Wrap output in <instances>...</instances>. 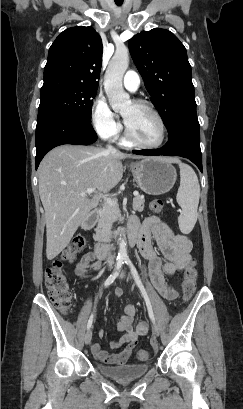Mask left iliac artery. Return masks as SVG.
I'll use <instances>...</instances> for the list:
<instances>
[{
  "instance_id": "obj_1",
  "label": "left iliac artery",
  "mask_w": 243,
  "mask_h": 409,
  "mask_svg": "<svg viewBox=\"0 0 243 409\" xmlns=\"http://www.w3.org/2000/svg\"><path fill=\"white\" fill-rule=\"evenodd\" d=\"M125 263L130 267L131 273H132V275H133V277L135 279V282H136L137 286L139 287V289H140V291H141V293H142V295L144 297V300H145L146 306H147V310H148V314H149V318L151 319V321L153 323H155V317H154V314H153L152 305H151L150 299L148 297V294H147V292H146V290H145V288H144V286H143V284H142V282H141V280L139 278L138 272H137L136 268L134 267V265L132 264V262L130 261V259L127 258L125 260Z\"/></svg>"
}]
</instances>
